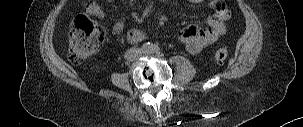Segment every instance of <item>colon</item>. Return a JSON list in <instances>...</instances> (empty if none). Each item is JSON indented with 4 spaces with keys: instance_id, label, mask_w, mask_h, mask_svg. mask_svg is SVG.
<instances>
[{
    "instance_id": "1",
    "label": "colon",
    "mask_w": 303,
    "mask_h": 127,
    "mask_svg": "<svg viewBox=\"0 0 303 127\" xmlns=\"http://www.w3.org/2000/svg\"><path fill=\"white\" fill-rule=\"evenodd\" d=\"M104 40V35L97 24L87 15L78 14L71 26L69 36L70 61L79 64L89 56L98 51ZM227 51L224 48H217L214 51V58L217 61H224Z\"/></svg>"
}]
</instances>
